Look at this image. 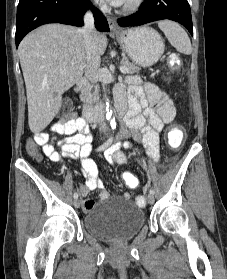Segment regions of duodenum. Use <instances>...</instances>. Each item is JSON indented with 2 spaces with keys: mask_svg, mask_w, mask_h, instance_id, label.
<instances>
[{
  "mask_svg": "<svg viewBox=\"0 0 227 279\" xmlns=\"http://www.w3.org/2000/svg\"><path fill=\"white\" fill-rule=\"evenodd\" d=\"M87 82L85 80L79 81L76 84V91L81 92L85 89ZM114 112L119 117H124L127 112V104L124 100H116V104L114 106ZM107 113V109L105 107L100 108H88L84 111V118L86 121L90 123H95L101 121Z\"/></svg>",
  "mask_w": 227,
  "mask_h": 279,
  "instance_id": "duodenum-1",
  "label": "duodenum"
}]
</instances>
